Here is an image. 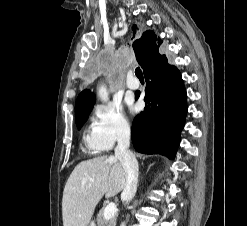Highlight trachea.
<instances>
[{"instance_id": "obj_1", "label": "trachea", "mask_w": 247, "mask_h": 226, "mask_svg": "<svg viewBox=\"0 0 247 226\" xmlns=\"http://www.w3.org/2000/svg\"><path fill=\"white\" fill-rule=\"evenodd\" d=\"M135 74L138 78H142L143 77V74H142V71L141 69L138 67L135 69Z\"/></svg>"}]
</instances>
